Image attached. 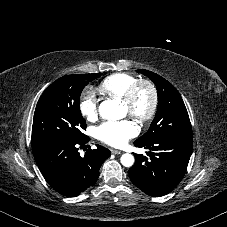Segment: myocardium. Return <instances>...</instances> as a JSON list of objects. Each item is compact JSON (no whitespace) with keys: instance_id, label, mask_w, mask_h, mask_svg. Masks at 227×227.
<instances>
[{"instance_id":"myocardium-1","label":"myocardium","mask_w":227,"mask_h":227,"mask_svg":"<svg viewBox=\"0 0 227 227\" xmlns=\"http://www.w3.org/2000/svg\"><path fill=\"white\" fill-rule=\"evenodd\" d=\"M146 88L151 97L150 106L144 113H139L136 109V101L139 91ZM121 103L129 110V115L134 118L139 124H144L151 120L158 108V91L156 86L147 79H139L134 82L126 91L125 95L121 98Z\"/></svg>"}]
</instances>
